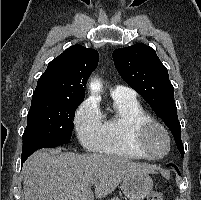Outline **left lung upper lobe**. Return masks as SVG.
Returning a JSON list of instances; mask_svg holds the SVG:
<instances>
[{"instance_id":"5c2ea615","label":"left lung upper lobe","mask_w":201,"mask_h":200,"mask_svg":"<svg viewBox=\"0 0 201 200\" xmlns=\"http://www.w3.org/2000/svg\"><path fill=\"white\" fill-rule=\"evenodd\" d=\"M113 60L122 79L148 102L170 129L183 158L184 147L174 100V87L155 50L138 43L114 50Z\"/></svg>"}]
</instances>
